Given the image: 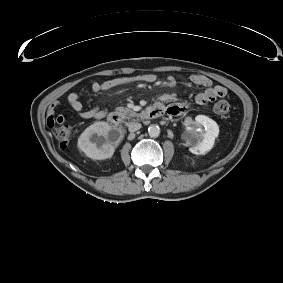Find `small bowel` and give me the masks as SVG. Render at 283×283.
I'll return each mask as SVG.
<instances>
[{"label": "small bowel", "mask_w": 283, "mask_h": 283, "mask_svg": "<svg viewBox=\"0 0 283 283\" xmlns=\"http://www.w3.org/2000/svg\"><path fill=\"white\" fill-rule=\"evenodd\" d=\"M156 76L153 74H143L131 77H116L103 82H94L91 85V91L93 93H99L101 91L110 90L115 87L130 84L134 82H155ZM190 81L193 85L203 87L204 90L195 95V102L199 105H205L217 98L227 95V90L220 85L213 86L210 78L203 74H193L190 77ZM169 83H174L173 78L168 79ZM167 99L170 97H166ZM66 104L71 107L77 115L82 119H102L106 115V110L101 108L86 109L80 101V97L77 93H70L65 99ZM61 107L59 101H54L48 108L47 122L50 126L55 123H64L65 118L63 116H56V111ZM186 110L184 105L171 106L167 109L168 113L173 116H179Z\"/></svg>", "instance_id": "small-bowel-1"}]
</instances>
